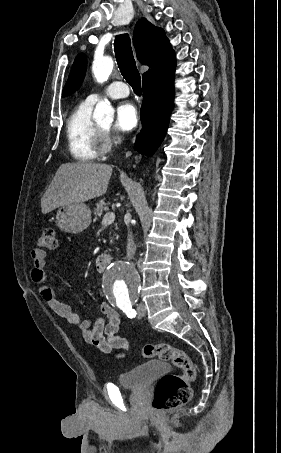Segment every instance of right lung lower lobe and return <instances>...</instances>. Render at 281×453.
Listing matches in <instances>:
<instances>
[{
  "instance_id": "obj_1",
  "label": "right lung lower lobe",
  "mask_w": 281,
  "mask_h": 453,
  "mask_svg": "<svg viewBox=\"0 0 281 453\" xmlns=\"http://www.w3.org/2000/svg\"><path fill=\"white\" fill-rule=\"evenodd\" d=\"M174 54L143 77V103L140 111L142 129L135 149L152 155L161 144L174 107Z\"/></svg>"
}]
</instances>
